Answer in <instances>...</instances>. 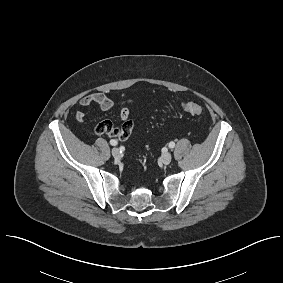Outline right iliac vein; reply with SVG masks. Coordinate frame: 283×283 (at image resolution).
I'll return each instance as SVG.
<instances>
[{
    "instance_id": "63e3f726",
    "label": "right iliac vein",
    "mask_w": 283,
    "mask_h": 283,
    "mask_svg": "<svg viewBox=\"0 0 283 283\" xmlns=\"http://www.w3.org/2000/svg\"><path fill=\"white\" fill-rule=\"evenodd\" d=\"M111 153H112V155H113V157L115 158V159H119L120 158V151H119V149L118 148H113L112 150H111Z\"/></svg>"
}]
</instances>
